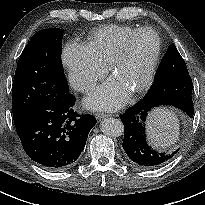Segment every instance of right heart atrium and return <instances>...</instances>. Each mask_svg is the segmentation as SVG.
Masks as SVG:
<instances>
[{"label": "right heart atrium", "mask_w": 205, "mask_h": 205, "mask_svg": "<svg viewBox=\"0 0 205 205\" xmlns=\"http://www.w3.org/2000/svg\"><path fill=\"white\" fill-rule=\"evenodd\" d=\"M62 64L72 86L81 92L91 91L107 72V67L94 57L86 45L74 40L65 45Z\"/></svg>", "instance_id": "1"}]
</instances>
